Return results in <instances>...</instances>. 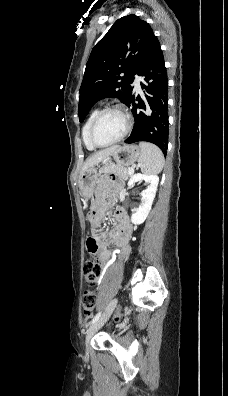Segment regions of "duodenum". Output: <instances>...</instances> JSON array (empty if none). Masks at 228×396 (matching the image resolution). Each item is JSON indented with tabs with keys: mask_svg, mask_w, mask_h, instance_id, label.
I'll list each match as a JSON object with an SVG mask.
<instances>
[{
	"mask_svg": "<svg viewBox=\"0 0 228 396\" xmlns=\"http://www.w3.org/2000/svg\"><path fill=\"white\" fill-rule=\"evenodd\" d=\"M116 230H117L119 236H126V235H129L131 227L122 217H118L117 224H116Z\"/></svg>",
	"mask_w": 228,
	"mask_h": 396,
	"instance_id": "1",
	"label": "duodenum"
}]
</instances>
